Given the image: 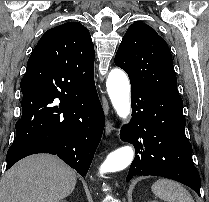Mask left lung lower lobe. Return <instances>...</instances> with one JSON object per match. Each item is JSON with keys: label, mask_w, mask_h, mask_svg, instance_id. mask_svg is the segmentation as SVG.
<instances>
[{"label": "left lung lower lobe", "mask_w": 209, "mask_h": 202, "mask_svg": "<svg viewBox=\"0 0 209 202\" xmlns=\"http://www.w3.org/2000/svg\"><path fill=\"white\" fill-rule=\"evenodd\" d=\"M131 104L132 120L120 134L136 151L126 180L162 176L183 183L200 195V176L185 136L182 99L131 83Z\"/></svg>", "instance_id": "left-lung-lower-lobe-1"}]
</instances>
